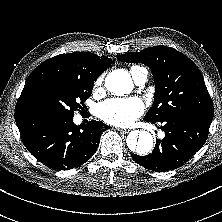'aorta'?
<instances>
[{
  "label": "aorta",
  "instance_id": "762f6f07",
  "mask_svg": "<svg viewBox=\"0 0 222 222\" xmlns=\"http://www.w3.org/2000/svg\"><path fill=\"white\" fill-rule=\"evenodd\" d=\"M105 86L114 95L122 96L133 90L130 75L125 70H114L105 78ZM129 150L139 156L147 155L153 148V137L145 131H132L127 137Z\"/></svg>",
  "mask_w": 222,
  "mask_h": 222
}]
</instances>
